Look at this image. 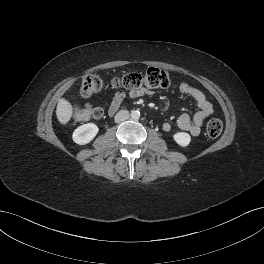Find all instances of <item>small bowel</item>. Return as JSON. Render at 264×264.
Instances as JSON below:
<instances>
[{"instance_id": "small-bowel-1", "label": "small bowel", "mask_w": 264, "mask_h": 264, "mask_svg": "<svg viewBox=\"0 0 264 264\" xmlns=\"http://www.w3.org/2000/svg\"><path fill=\"white\" fill-rule=\"evenodd\" d=\"M179 90L193 98L199 108V110L193 115L190 116L187 113L182 114L177 119V126L179 129L189 133L191 136L196 137L200 134L201 128L203 125L204 120L213 113V105L211 102L206 98L205 94L189 85L186 82H181L179 84ZM146 93L144 89L140 90H132L129 95L132 98L142 96ZM125 99V93L122 91L116 92L112 99L106 103V107L109 114H113L122 104L123 100ZM172 126L170 123L166 122L163 124L162 129L165 132H169Z\"/></svg>"}]
</instances>
